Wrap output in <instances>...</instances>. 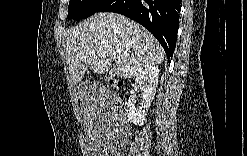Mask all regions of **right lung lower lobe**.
Wrapping results in <instances>:
<instances>
[{"label":"right lung lower lobe","mask_w":247,"mask_h":156,"mask_svg":"<svg viewBox=\"0 0 247 156\" xmlns=\"http://www.w3.org/2000/svg\"><path fill=\"white\" fill-rule=\"evenodd\" d=\"M180 0H107L98 12H115L147 28L173 56L179 28Z\"/></svg>","instance_id":"right-lung-lower-lobe-1"}]
</instances>
